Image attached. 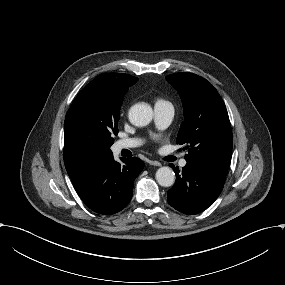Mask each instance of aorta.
Here are the masks:
<instances>
[{"label":"aorta","mask_w":285,"mask_h":285,"mask_svg":"<svg viewBox=\"0 0 285 285\" xmlns=\"http://www.w3.org/2000/svg\"><path fill=\"white\" fill-rule=\"evenodd\" d=\"M129 121L138 127L148 125L153 118L152 108L147 104H138L131 107ZM156 180L163 187H170L175 182V173L170 167H161L156 172Z\"/></svg>","instance_id":"1"}]
</instances>
